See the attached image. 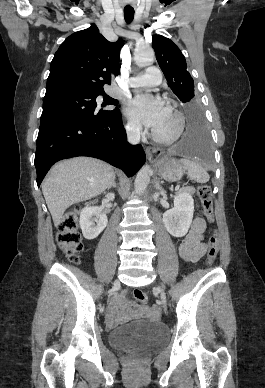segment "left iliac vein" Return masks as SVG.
<instances>
[{"mask_svg":"<svg viewBox=\"0 0 265 388\" xmlns=\"http://www.w3.org/2000/svg\"><path fill=\"white\" fill-rule=\"evenodd\" d=\"M159 291H160V296H161L162 303L165 306L166 305V295H165V293H164V291L162 289H159Z\"/></svg>","mask_w":265,"mask_h":388,"instance_id":"4c4485c4","label":"left iliac vein"}]
</instances>
